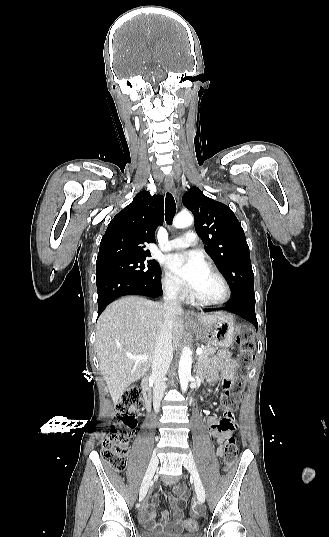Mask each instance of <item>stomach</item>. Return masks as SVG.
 <instances>
[{
	"mask_svg": "<svg viewBox=\"0 0 329 537\" xmlns=\"http://www.w3.org/2000/svg\"><path fill=\"white\" fill-rule=\"evenodd\" d=\"M240 332L241 326L235 323L232 315H222L210 327L203 330L202 336L215 346L229 347Z\"/></svg>",
	"mask_w": 329,
	"mask_h": 537,
	"instance_id": "0dacf381",
	"label": "stomach"
}]
</instances>
